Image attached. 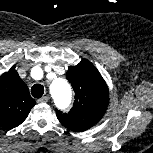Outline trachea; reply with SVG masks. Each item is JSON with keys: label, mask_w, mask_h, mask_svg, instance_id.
<instances>
[{"label": "trachea", "mask_w": 153, "mask_h": 153, "mask_svg": "<svg viewBox=\"0 0 153 153\" xmlns=\"http://www.w3.org/2000/svg\"><path fill=\"white\" fill-rule=\"evenodd\" d=\"M31 94L34 98H41L44 94V87L41 84H35L31 88Z\"/></svg>", "instance_id": "1"}]
</instances>
